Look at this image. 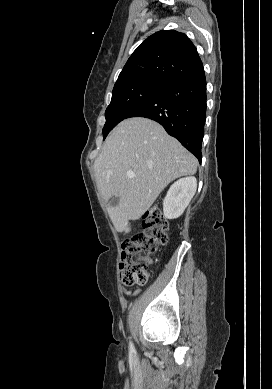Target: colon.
<instances>
[{
    "label": "colon",
    "mask_w": 272,
    "mask_h": 389,
    "mask_svg": "<svg viewBox=\"0 0 272 389\" xmlns=\"http://www.w3.org/2000/svg\"><path fill=\"white\" fill-rule=\"evenodd\" d=\"M143 231L122 244L120 281L125 286L145 285L149 279L148 256L167 241L168 222L157 207L142 216Z\"/></svg>",
    "instance_id": "5ec220e1"
}]
</instances>
